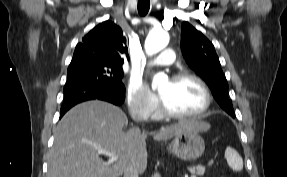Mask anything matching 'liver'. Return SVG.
I'll use <instances>...</instances> for the list:
<instances>
[{"label":"liver","instance_id":"obj_1","mask_svg":"<svg viewBox=\"0 0 287 177\" xmlns=\"http://www.w3.org/2000/svg\"><path fill=\"white\" fill-rule=\"evenodd\" d=\"M125 113L103 101H88L69 110L54 131L47 177H120L129 164L139 173L147 167L146 133L139 128L123 132ZM210 124L180 121L153 134L154 140H168L186 130L207 131ZM114 153L118 160L106 162L97 149Z\"/></svg>","mask_w":287,"mask_h":177}]
</instances>
